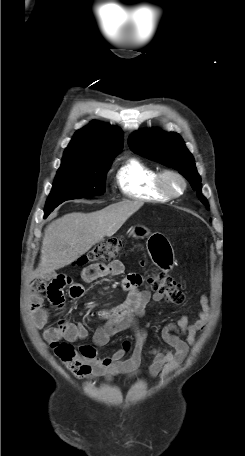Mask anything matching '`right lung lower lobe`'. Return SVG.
Segmentation results:
<instances>
[{"instance_id":"98d812e1","label":"right lung lower lobe","mask_w":245,"mask_h":456,"mask_svg":"<svg viewBox=\"0 0 245 456\" xmlns=\"http://www.w3.org/2000/svg\"><path fill=\"white\" fill-rule=\"evenodd\" d=\"M49 214H50V213H48V214H45V218H46V217H47Z\"/></svg>"}]
</instances>
